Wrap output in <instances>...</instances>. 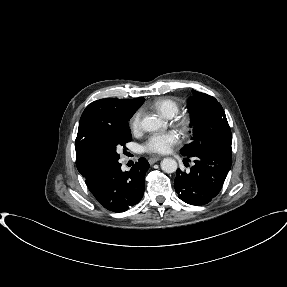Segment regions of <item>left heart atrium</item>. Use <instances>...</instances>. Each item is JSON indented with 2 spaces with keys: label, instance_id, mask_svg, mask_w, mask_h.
Instances as JSON below:
<instances>
[{
  "label": "left heart atrium",
  "instance_id": "39dd6f15",
  "mask_svg": "<svg viewBox=\"0 0 287 287\" xmlns=\"http://www.w3.org/2000/svg\"><path fill=\"white\" fill-rule=\"evenodd\" d=\"M179 141L180 135L176 131L159 132L150 135L143 143L142 148L149 153L165 154Z\"/></svg>",
  "mask_w": 287,
  "mask_h": 287
}]
</instances>
